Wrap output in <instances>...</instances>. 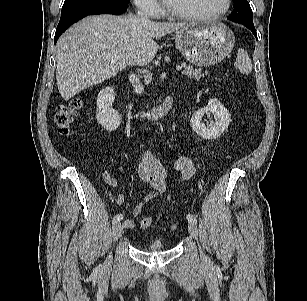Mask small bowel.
<instances>
[{
  "instance_id": "1",
  "label": "small bowel",
  "mask_w": 307,
  "mask_h": 301,
  "mask_svg": "<svg viewBox=\"0 0 307 301\" xmlns=\"http://www.w3.org/2000/svg\"><path fill=\"white\" fill-rule=\"evenodd\" d=\"M174 159L173 169L179 173V180L184 181L191 178L195 171L192 160L184 153H176ZM139 176L142 180L150 184L152 190L134 207V217H138L142 213L144 204L152 201L158 195L166 193L168 189V172L150 152L144 155L143 162L139 167ZM103 179L109 186H116V181L110 173L104 172ZM115 202L119 205H123L126 202L125 195L117 194L115 196ZM134 227L135 222L132 219H127L123 222L124 229H132Z\"/></svg>"
}]
</instances>
